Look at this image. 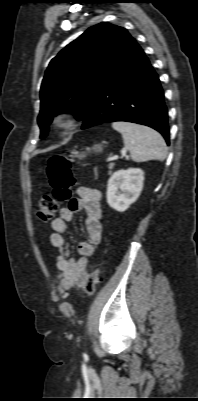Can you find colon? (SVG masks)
I'll return each instance as SVG.
<instances>
[{
  "label": "colon",
  "instance_id": "obj_1",
  "mask_svg": "<svg viewBox=\"0 0 198 401\" xmlns=\"http://www.w3.org/2000/svg\"><path fill=\"white\" fill-rule=\"evenodd\" d=\"M46 174L52 187V195H44L38 203V217L44 221H49L57 211L60 202H67L72 199V188L75 178L72 173V164L69 156H52L46 166ZM101 281L100 269L96 268L90 274L85 290L88 295H93L97 285Z\"/></svg>",
  "mask_w": 198,
  "mask_h": 401
}]
</instances>
